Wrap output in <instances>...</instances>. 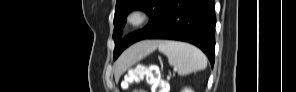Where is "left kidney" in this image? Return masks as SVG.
<instances>
[{
	"label": "left kidney",
	"mask_w": 296,
	"mask_h": 92,
	"mask_svg": "<svg viewBox=\"0 0 296 92\" xmlns=\"http://www.w3.org/2000/svg\"><path fill=\"white\" fill-rule=\"evenodd\" d=\"M182 92H193V90H191L190 88H184V89L182 90Z\"/></svg>",
	"instance_id": "5707ae66"
}]
</instances>
